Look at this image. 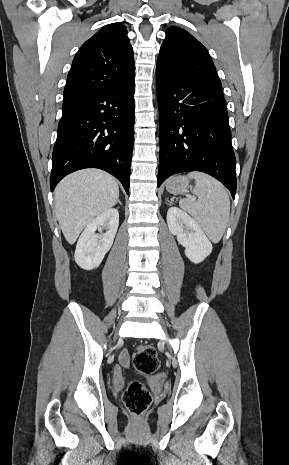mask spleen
Listing matches in <instances>:
<instances>
[{"label":"spleen","mask_w":289,"mask_h":465,"mask_svg":"<svg viewBox=\"0 0 289 465\" xmlns=\"http://www.w3.org/2000/svg\"><path fill=\"white\" fill-rule=\"evenodd\" d=\"M187 177L195 179L193 194L198 199L191 196L180 199L179 206L198 222L213 243H218L229 220L228 193L219 181L205 173L192 172Z\"/></svg>","instance_id":"1"}]
</instances>
